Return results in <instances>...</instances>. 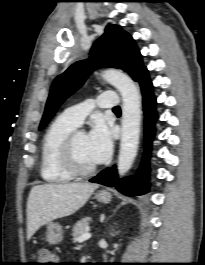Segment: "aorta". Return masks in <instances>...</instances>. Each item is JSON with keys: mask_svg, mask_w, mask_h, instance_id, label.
Returning <instances> with one entry per match:
<instances>
[{"mask_svg": "<svg viewBox=\"0 0 205 265\" xmlns=\"http://www.w3.org/2000/svg\"><path fill=\"white\" fill-rule=\"evenodd\" d=\"M102 78L113 85L122 96V135L117 169L119 176L123 177L137 155L142 114L141 95L136 83L118 70L107 69L102 73Z\"/></svg>", "mask_w": 205, "mask_h": 265, "instance_id": "obj_1", "label": "aorta"}]
</instances>
